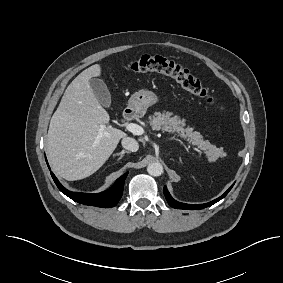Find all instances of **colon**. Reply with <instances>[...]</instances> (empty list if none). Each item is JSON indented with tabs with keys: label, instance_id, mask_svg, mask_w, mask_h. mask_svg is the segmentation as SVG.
<instances>
[{
	"label": "colon",
	"instance_id": "5ec220e1",
	"mask_svg": "<svg viewBox=\"0 0 283 283\" xmlns=\"http://www.w3.org/2000/svg\"><path fill=\"white\" fill-rule=\"evenodd\" d=\"M131 69L137 73H159L175 80L186 91L204 99L212 105H217L216 98L203 83L180 64L161 56H142L131 64ZM218 110L223 111L222 106Z\"/></svg>",
	"mask_w": 283,
	"mask_h": 283
}]
</instances>
